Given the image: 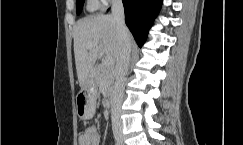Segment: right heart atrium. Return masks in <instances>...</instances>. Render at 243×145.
I'll list each match as a JSON object with an SVG mask.
<instances>
[{
  "label": "right heart atrium",
  "mask_w": 243,
  "mask_h": 145,
  "mask_svg": "<svg viewBox=\"0 0 243 145\" xmlns=\"http://www.w3.org/2000/svg\"><path fill=\"white\" fill-rule=\"evenodd\" d=\"M100 4L102 5H107L109 2L113 1V0H97Z\"/></svg>",
  "instance_id": "1"
}]
</instances>
